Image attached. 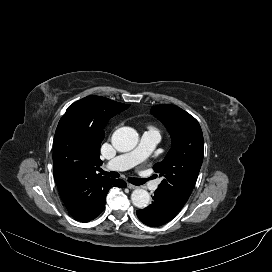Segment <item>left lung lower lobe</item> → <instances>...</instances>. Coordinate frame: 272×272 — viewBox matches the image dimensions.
<instances>
[{
    "label": "left lung lower lobe",
    "mask_w": 272,
    "mask_h": 272,
    "mask_svg": "<svg viewBox=\"0 0 272 272\" xmlns=\"http://www.w3.org/2000/svg\"><path fill=\"white\" fill-rule=\"evenodd\" d=\"M181 208L182 206L155 191L152 204L136 213L141 222L156 227L172 220Z\"/></svg>",
    "instance_id": "1"
}]
</instances>
